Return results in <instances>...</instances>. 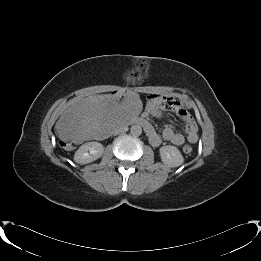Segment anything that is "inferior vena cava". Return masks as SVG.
Here are the masks:
<instances>
[{
    "mask_svg": "<svg viewBox=\"0 0 261 261\" xmlns=\"http://www.w3.org/2000/svg\"><path fill=\"white\" fill-rule=\"evenodd\" d=\"M127 130H128L127 125H121L118 128H116L113 133L114 134H119V133H123V132H125Z\"/></svg>",
    "mask_w": 261,
    "mask_h": 261,
    "instance_id": "obj_1",
    "label": "inferior vena cava"
}]
</instances>
